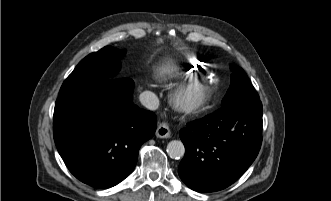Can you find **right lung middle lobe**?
Wrapping results in <instances>:
<instances>
[{
    "label": "right lung middle lobe",
    "instance_id": "right-lung-middle-lobe-1",
    "mask_svg": "<svg viewBox=\"0 0 331 201\" xmlns=\"http://www.w3.org/2000/svg\"><path fill=\"white\" fill-rule=\"evenodd\" d=\"M124 51L106 46L86 56L64 81L59 97L101 79L114 78L120 70Z\"/></svg>",
    "mask_w": 331,
    "mask_h": 201
}]
</instances>
